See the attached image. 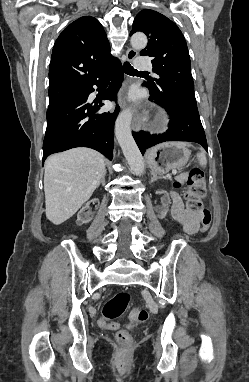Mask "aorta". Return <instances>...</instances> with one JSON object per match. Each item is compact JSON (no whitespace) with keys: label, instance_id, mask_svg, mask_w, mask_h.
<instances>
[{"label":"aorta","instance_id":"aorta-1","mask_svg":"<svg viewBox=\"0 0 249 382\" xmlns=\"http://www.w3.org/2000/svg\"><path fill=\"white\" fill-rule=\"evenodd\" d=\"M131 45L135 49L145 48L147 45L146 35L135 33L131 37ZM131 121L132 111L130 109L122 111L116 119L115 135L132 172L136 175H142L144 172V159L133 139Z\"/></svg>","mask_w":249,"mask_h":382}]
</instances>
